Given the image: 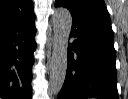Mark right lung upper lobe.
Masks as SVG:
<instances>
[{"label": "right lung upper lobe", "mask_w": 128, "mask_h": 99, "mask_svg": "<svg viewBox=\"0 0 128 99\" xmlns=\"http://www.w3.org/2000/svg\"><path fill=\"white\" fill-rule=\"evenodd\" d=\"M33 13L32 0H0V32Z\"/></svg>", "instance_id": "obj_1"}]
</instances>
